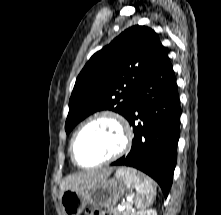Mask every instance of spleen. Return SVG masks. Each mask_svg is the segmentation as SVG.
<instances>
[{"label": "spleen", "instance_id": "1", "mask_svg": "<svg viewBox=\"0 0 221 215\" xmlns=\"http://www.w3.org/2000/svg\"><path fill=\"white\" fill-rule=\"evenodd\" d=\"M117 177H122L128 187L135 189L134 194V206L137 210H145L153 203L156 196V187L149 177L145 176L143 179L136 176L134 171L123 172L118 170L116 172Z\"/></svg>", "mask_w": 221, "mask_h": 215}]
</instances>
